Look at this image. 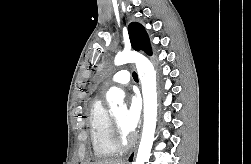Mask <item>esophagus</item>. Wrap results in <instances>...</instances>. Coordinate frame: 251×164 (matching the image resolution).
I'll return each mask as SVG.
<instances>
[{
  "label": "esophagus",
  "mask_w": 251,
  "mask_h": 164,
  "mask_svg": "<svg viewBox=\"0 0 251 164\" xmlns=\"http://www.w3.org/2000/svg\"><path fill=\"white\" fill-rule=\"evenodd\" d=\"M137 148L135 147L128 155L126 162L127 164H132L136 157Z\"/></svg>",
  "instance_id": "34e87169"
}]
</instances>
